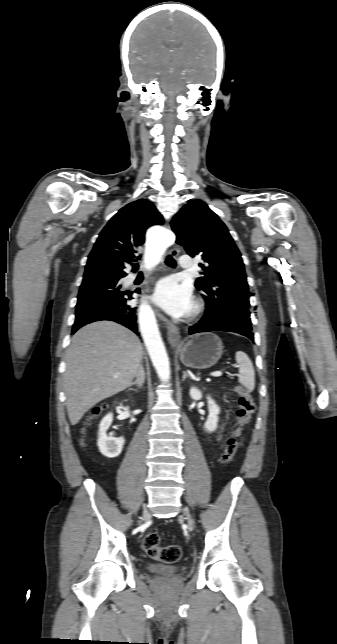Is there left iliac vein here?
I'll return each instance as SVG.
<instances>
[{
    "instance_id": "4c4485c4",
    "label": "left iliac vein",
    "mask_w": 337,
    "mask_h": 644,
    "mask_svg": "<svg viewBox=\"0 0 337 644\" xmlns=\"http://www.w3.org/2000/svg\"><path fill=\"white\" fill-rule=\"evenodd\" d=\"M184 515L186 516V519L188 521L189 526L192 528L194 526V524H193V521H192L189 513L186 510H184Z\"/></svg>"
}]
</instances>
